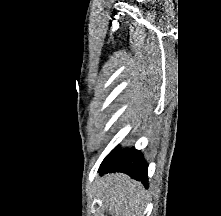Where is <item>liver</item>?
Returning a JSON list of instances; mask_svg holds the SVG:
<instances>
[{"label":"liver","instance_id":"6515ba94","mask_svg":"<svg viewBox=\"0 0 221 216\" xmlns=\"http://www.w3.org/2000/svg\"><path fill=\"white\" fill-rule=\"evenodd\" d=\"M97 194L113 216H140L143 210L144 187L126 174L105 175Z\"/></svg>","mask_w":221,"mask_h":216}]
</instances>
